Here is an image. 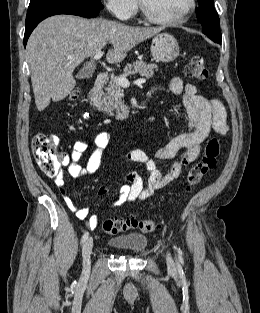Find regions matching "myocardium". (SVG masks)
<instances>
[{
    "label": "myocardium",
    "instance_id": "myocardium-1",
    "mask_svg": "<svg viewBox=\"0 0 260 313\" xmlns=\"http://www.w3.org/2000/svg\"><path fill=\"white\" fill-rule=\"evenodd\" d=\"M138 7L141 11L143 17L151 23L162 24V25H171L177 24L183 21L189 14H191L196 7V0H189L188 6L186 9L179 15L171 18H161L155 16L144 4L143 0H137Z\"/></svg>",
    "mask_w": 260,
    "mask_h": 313
}]
</instances>
